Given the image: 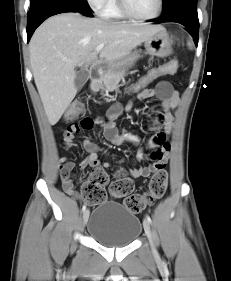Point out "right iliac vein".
Here are the masks:
<instances>
[{"mask_svg": "<svg viewBox=\"0 0 231 281\" xmlns=\"http://www.w3.org/2000/svg\"><path fill=\"white\" fill-rule=\"evenodd\" d=\"M89 218V210H85L83 213V225L85 226Z\"/></svg>", "mask_w": 231, "mask_h": 281, "instance_id": "obj_1", "label": "right iliac vein"}]
</instances>
